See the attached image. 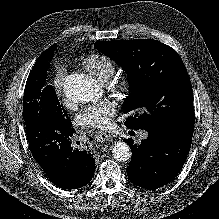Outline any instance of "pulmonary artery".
Returning <instances> with one entry per match:
<instances>
[{
  "mask_svg": "<svg viewBox=\"0 0 219 219\" xmlns=\"http://www.w3.org/2000/svg\"><path fill=\"white\" fill-rule=\"evenodd\" d=\"M145 136H146L145 133H142V134H141V138H144Z\"/></svg>",
  "mask_w": 219,
  "mask_h": 219,
  "instance_id": "1",
  "label": "pulmonary artery"
}]
</instances>
